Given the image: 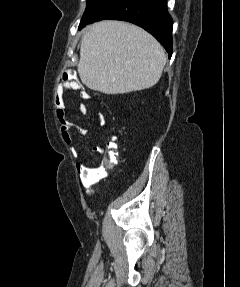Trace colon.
<instances>
[{
  "label": "colon",
  "instance_id": "5ec220e1",
  "mask_svg": "<svg viewBox=\"0 0 240 287\" xmlns=\"http://www.w3.org/2000/svg\"><path fill=\"white\" fill-rule=\"evenodd\" d=\"M66 80H68V75L64 74L61 77L59 85H61ZM114 140H116L115 137ZM116 160V143H112L107 158L102 159L98 164L94 166H78V171L82 182L89 185L103 178L106 174V170L111 167L116 162Z\"/></svg>",
  "mask_w": 240,
  "mask_h": 287
}]
</instances>
